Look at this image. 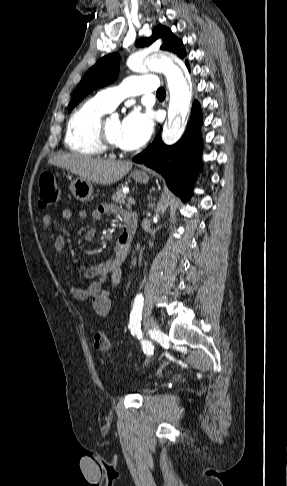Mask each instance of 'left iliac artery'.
<instances>
[{
	"label": "left iliac artery",
	"mask_w": 287,
	"mask_h": 486,
	"mask_svg": "<svg viewBox=\"0 0 287 486\" xmlns=\"http://www.w3.org/2000/svg\"><path fill=\"white\" fill-rule=\"evenodd\" d=\"M143 306H144V297L142 294H138L134 300V305L130 314V322L128 325L129 329L131 330V333L133 335H137L138 339L142 338L140 320L142 316ZM141 344L145 354L147 355L153 354L154 347L151 342L142 339Z\"/></svg>",
	"instance_id": "left-iliac-artery-1"
}]
</instances>
